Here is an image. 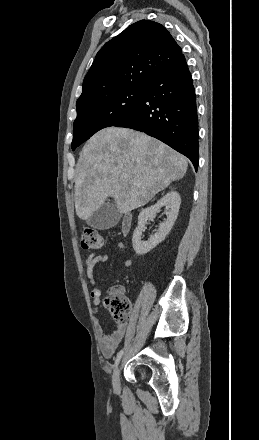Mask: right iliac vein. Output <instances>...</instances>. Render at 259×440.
Masks as SVG:
<instances>
[{"label": "right iliac vein", "mask_w": 259, "mask_h": 440, "mask_svg": "<svg viewBox=\"0 0 259 440\" xmlns=\"http://www.w3.org/2000/svg\"><path fill=\"white\" fill-rule=\"evenodd\" d=\"M113 386L116 390L120 387V365L118 364L115 368L113 375Z\"/></svg>", "instance_id": "right-iliac-vein-1"}]
</instances>
